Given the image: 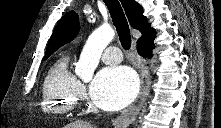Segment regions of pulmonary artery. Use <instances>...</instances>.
I'll return each mask as SVG.
<instances>
[{"instance_id": "pulmonary-artery-1", "label": "pulmonary artery", "mask_w": 221, "mask_h": 128, "mask_svg": "<svg viewBox=\"0 0 221 128\" xmlns=\"http://www.w3.org/2000/svg\"><path fill=\"white\" fill-rule=\"evenodd\" d=\"M121 51L116 46H110L102 54V61L107 64H116L121 61Z\"/></svg>"}]
</instances>
